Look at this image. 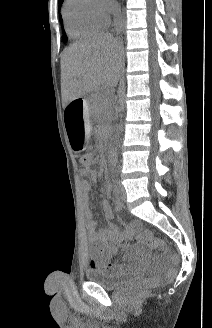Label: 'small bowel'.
Returning a JSON list of instances; mask_svg holds the SVG:
<instances>
[{
  "instance_id": "1",
  "label": "small bowel",
  "mask_w": 212,
  "mask_h": 328,
  "mask_svg": "<svg viewBox=\"0 0 212 328\" xmlns=\"http://www.w3.org/2000/svg\"><path fill=\"white\" fill-rule=\"evenodd\" d=\"M81 174L88 176L91 182L98 180V172L96 170L93 173H82L81 171ZM90 181L83 180L80 184L82 197L87 206L86 229L91 241L94 243L95 250L103 254L106 258V261L103 263L97 259H93L91 262L92 267H101L106 272L115 273H127L138 269L148 260L150 256L149 249L142 245H136L134 247L129 245L123 246L125 240L130 239L134 235L137 225L135 223L125 224L122 231L113 223H110L105 228L98 227L93 220L92 211L94 204L89 201ZM117 207L120 209L121 204H117ZM101 210L107 220L110 221L113 219L114 215L107 201L102 202ZM121 248L124 249L122 261H112L111 259L118 254Z\"/></svg>"
}]
</instances>
